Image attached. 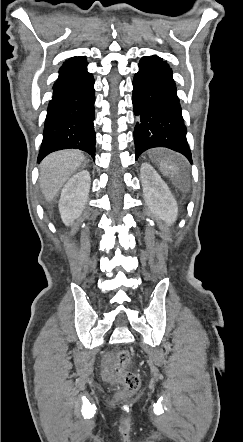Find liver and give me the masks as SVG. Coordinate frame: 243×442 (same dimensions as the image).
Masks as SVG:
<instances>
[{"label": "liver", "mask_w": 243, "mask_h": 442, "mask_svg": "<svg viewBox=\"0 0 243 442\" xmlns=\"http://www.w3.org/2000/svg\"><path fill=\"white\" fill-rule=\"evenodd\" d=\"M85 161L79 150H62L51 153L40 164V188L46 201L57 195L67 180Z\"/></svg>", "instance_id": "liver-1"}]
</instances>
